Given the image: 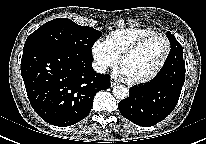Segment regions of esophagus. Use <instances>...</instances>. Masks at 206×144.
I'll return each instance as SVG.
<instances>
[{
	"mask_svg": "<svg viewBox=\"0 0 206 144\" xmlns=\"http://www.w3.org/2000/svg\"><path fill=\"white\" fill-rule=\"evenodd\" d=\"M111 87H114L118 84V82L115 79H111Z\"/></svg>",
	"mask_w": 206,
	"mask_h": 144,
	"instance_id": "obj_1",
	"label": "esophagus"
}]
</instances>
